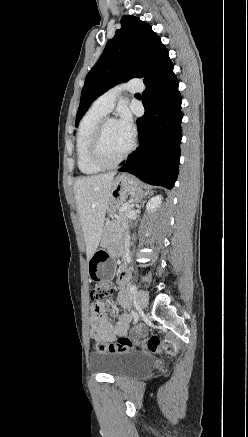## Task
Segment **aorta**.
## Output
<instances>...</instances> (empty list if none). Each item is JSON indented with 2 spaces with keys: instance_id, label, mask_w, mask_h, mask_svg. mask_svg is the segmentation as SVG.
Listing matches in <instances>:
<instances>
[{
  "instance_id": "obj_1",
  "label": "aorta",
  "mask_w": 248,
  "mask_h": 437,
  "mask_svg": "<svg viewBox=\"0 0 248 437\" xmlns=\"http://www.w3.org/2000/svg\"><path fill=\"white\" fill-rule=\"evenodd\" d=\"M129 248H130V235L127 232L126 235H125V241H124V250H125L124 253H125V257L127 259L130 258V250H129Z\"/></svg>"
}]
</instances>
